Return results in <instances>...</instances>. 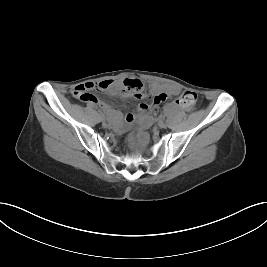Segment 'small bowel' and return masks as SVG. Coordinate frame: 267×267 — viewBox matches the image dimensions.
<instances>
[{
  "instance_id": "c3829d8e",
  "label": "small bowel",
  "mask_w": 267,
  "mask_h": 267,
  "mask_svg": "<svg viewBox=\"0 0 267 267\" xmlns=\"http://www.w3.org/2000/svg\"><path fill=\"white\" fill-rule=\"evenodd\" d=\"M87 83H90V84H94L93 82H87ZM83 84L81 85H78L76 87H74L72 90H71V93L73 95V97H76L75 96V90L77 87L79 86H82ZM111 84H108L107 85V88L110 86ZM118 86V84H117ZM149 91L153 94H155V96L161 94L162 92H166L167 94L169 95H176L179 93V89L176 87V86H173V85H168V86H162L158 83H153V84H150L149 85ZM86 102H89V103H92L96 106H98L100 109H102L103 111H105L106 113H112V108L107 105L105 102L103 101H100L96 98H92L91 100H88ZM158 104L154 103V107H156ZM150 109V106L146 103H139L138 104V110L140 112H146ZM167 111H170V112H175V111H178V107L176 104H170L167 106ZM126 121L127 122H132L134 120V115L131 114V113H128L126 114V117H125Z\"/></svg>"
}]
</instances>
